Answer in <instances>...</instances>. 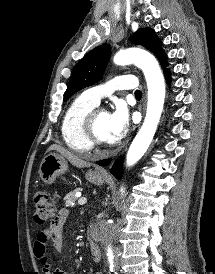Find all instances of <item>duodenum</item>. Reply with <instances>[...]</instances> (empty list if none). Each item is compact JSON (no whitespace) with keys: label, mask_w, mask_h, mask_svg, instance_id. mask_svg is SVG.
Segmentation results:
<instances>
[{"label":"duodenum","mask_w":215,"mask_h":274,"mask_svg":"<svg viewBox=\"0 0 215 274\" xmlns=\"http://www.w3.org/2000/svg\"><path fill=\"white\" fill-rule=\"evenodd\" d=\"M89 249L94 262L99 263L102 258V252L99 245L94 241L93 238L89 239Z\"/></svg>","instance_id":"duodenum-1"}]
</instances>
